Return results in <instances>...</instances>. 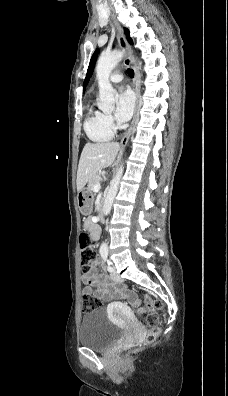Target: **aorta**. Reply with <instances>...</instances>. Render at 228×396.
I'll list each match as a JSON object with an SVG mask.
<instances>
[{"mask_svg":"<svg viewBox=\"0 0 228 396\" xmlns=\"http://www.w3.org/2000/svg\"><path fill=\"white\" fill-rule=\"evenodd\" d=\"M123 52L121 51H113L109 54H102L99 57L97 66H96V76L99 85V102L98 108L102 111H109L114 108L115 101L117 98V93L113 89L109 77L112 70L115 66L122 60ZM124 172L123 163L117 170L115 177L111 180L110 187L108 189L104 205H103V214L108 215L111 211L114 198L117 194L121 177ZM101 251H107L108 245L106 242H103L100 247Z\"/></svg>","mask_w":228,"mask_h":396,"instance_id":"obj_1","label":"aorta"}]
</instances>
